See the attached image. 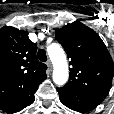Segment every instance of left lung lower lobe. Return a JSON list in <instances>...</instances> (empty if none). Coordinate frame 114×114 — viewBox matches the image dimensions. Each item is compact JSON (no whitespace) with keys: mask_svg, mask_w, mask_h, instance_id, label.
Instances as JSON below:
<instances>
[{"mask_svg":"<svg viewBox=\"0 0 114 114\" xmlns=\"http://www.w3.org/2000/svg\"><path fill=\"white\" fill-rule=\"evenodd\" d=\"M60 101L68 108L84 113L96 108L104 98L67 88H57Z\"/></svg>","mask_w":114,"mask_h":114,"instance_id":"0a47b994","label":"left lung lower lobe"}]
</instances>
